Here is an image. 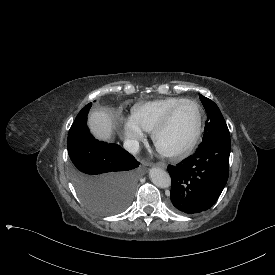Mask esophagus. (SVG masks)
Returning <instances> with one entry per match:
<instances>
[{
	"mask_svg": "<svg viewBox=\"0 0 275 275\" xmlns=\"http://www.w3.org/2000/svg\"><path fill=\"white\" fill-rule=\"evenodd\" d=\"M155 166H156V167L163 168V169H165V168L167 167L166 164L163 163V162H157V163L155 164Z\"/></svg>",
	"mask_w": 275,
	"mask_h": 275,
	"instance_id": "esophagus-1",
	"label": "esophagus"
}]
</instances>
